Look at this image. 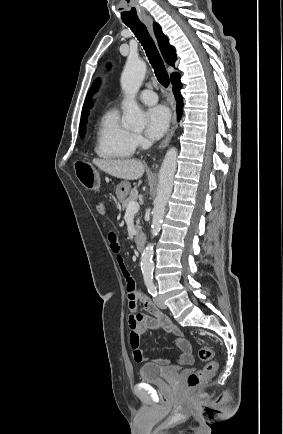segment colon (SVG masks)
Segmentation results:
<instances>
[{"label":"colon","instance_id":"obj_1","mask_svg":"<svg viewBox=\"0 0 283 434\" xmlns=\"http://www.w3.org/2000/svg\"><path fill=\"white\" fill-rule=\"evenodd\" d=\"M77 179L89 190L100 188V178L95 169L87 163L78 162L75 165ZM199 358L206 362L203 369L191 373L187 378L189 389H196L211 379L217 371L218 364L213 360V350L211 347L204 346L199 350Z\"/></svg>","mask_w":283,"mask_h":434}]
</instances>
